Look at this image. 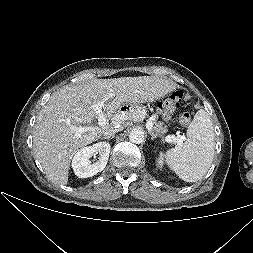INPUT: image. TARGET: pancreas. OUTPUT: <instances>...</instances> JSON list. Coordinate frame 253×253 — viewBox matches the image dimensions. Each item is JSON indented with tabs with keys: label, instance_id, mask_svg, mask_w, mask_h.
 <instances>
[{
	"label": "pancreas",
	"instance_id": "pancreas-1",
	"mask_svg": "<svg viewBox=\"0 0 253 253\" xmlns=\"http://www.w3.org/2000/svg\"><path fill=\"white\" fill-rule=\"evenodd\" d=\"M153 127L152 131L156 133L158 136H163L165 133H167V127L163 122L152 120Z\"/></svg>",
	"mask_w": 253,
	"mask_h": 253
}]
</instances>
